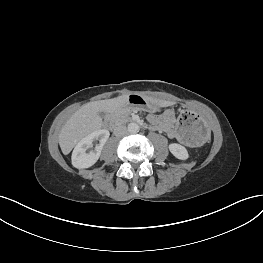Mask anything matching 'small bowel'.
I'll return each mask as SVG.
<instances>
[{
  "label": "small bowel",
  "mask_w": 263,
  "mask_h": 263,
  "mask_svg": "<svg viewBox=\"0 0 263 263\" xmlns=\"http://www.w3.org/2000/svg\"><path fill=\"white\" fill-rule=\"evenodd\" d=\"M148 120L155 129L165 132L169 138L177 139L183 143L185 142L181 136V132L174 130L172 126L174 120L170 122L166 121L163 117V114H149Z\"/></svg>",
  "instance_id": "obj_1"
}]
</instances>
